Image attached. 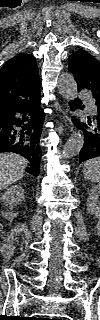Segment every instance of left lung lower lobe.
Here are the masks:
<instances>
[{
  "instance_id": "left-lung-lower-lobe-1",
  "label": "left lung lower lobe",
  "mask_w": 100,
  "mask_h": 320,
  "mask_svg": "<svg viewBox=\"0 0 100 320\" xmlns=\"http://www.w3.org/2000/svg\"><path fill=\"white\" fill-rule=\"evenodd\" d=\"M81 102L75 100L70 102L72 109L81 108ZM97 106V114L93 120L88 117L87 123L79 122L74 119L73 122L78 129L84 134V145L80 151L79 162H84L94 157H100V102H95Z\"/></svg>"
}]
</instances>
